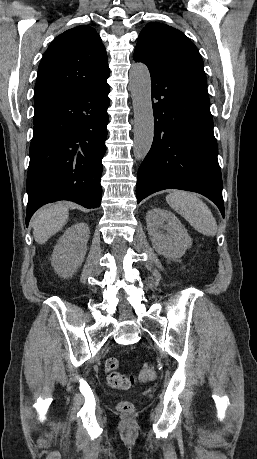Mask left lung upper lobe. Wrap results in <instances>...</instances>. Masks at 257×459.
<instances>
[{"instance_id": "obj_1", "label": "left lung upper lobe", "mask_w": 257, "mask_h": 459, "mask_svg": "<svg viewBox=\"0 0 257 459\" xmlns=\"http://www.w3.org/2000/svg\"><path fill=\"white\" fill-rule=\"evenodd\" d=\"M133 58L145 63L150 72L206 76L196 46L182 32L162 23L152 22L145 26Z\"/></svg>"}]
</instances>
